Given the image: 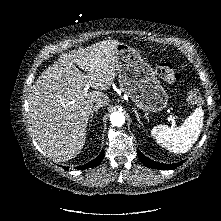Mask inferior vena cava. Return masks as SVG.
<instances>
[{"mask_svg":"<svg viewBox=\"0 0 221 221\" xmlns=\"http://www.w3.org/2000/svg\"><path fill=\"white\" fill-rule=\"evenodd\" d=\"M94 102L97 104V105H100V106H105V105H108L109 102H110V99L108 96L104 95V94H100L98 96H96L94 98Z\"/></svg>","mask_w":221,"mask_h":221,"instance_id":"602c4592","label":"inferior vena cava"}]
</instances>
